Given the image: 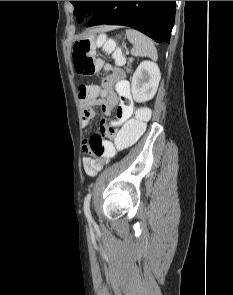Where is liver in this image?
<instances>
[{"label": "liver", "mask_w": 233, "mask_h": 295, "mask_svg": "<svg viewBox=\"0 0 233 295\" xmlns=\"http://www.w3.org/2000/svg\"><path fill=\"white\" fill-rule=\"evenodd\" d=\"M116 27L115 26H105V27H102L98 30H96L97 32H105V31H109V30H112V29H115Z\"/></svg>", "instance_id": "liver-1"}]
</instances>
